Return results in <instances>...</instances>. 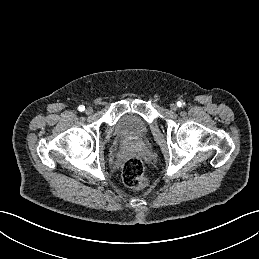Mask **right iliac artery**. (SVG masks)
I'll return each mask as SVG.
<instances>
[{"instance_id": "obj_1", "label": "right iliac artery", "mask_w": 259, "mask_h": 259, "mask_svg": "<svg viewBox=\"0 0 259 259\" xmlns=\"http://www.w3.org/2000/svg\"><path fill=\"white\" fill-rule=\"evenodd\" d=\"M78 110H79L80 112H83V111L85 110V106L80 105V106L78 107Z\"/></svg>"}]
</instances>
